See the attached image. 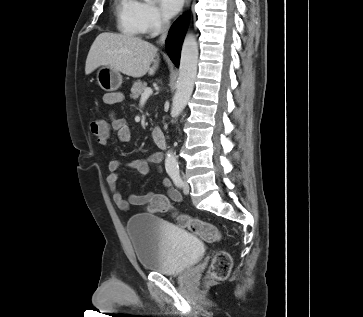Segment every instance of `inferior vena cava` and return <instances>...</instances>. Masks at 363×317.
I'll use <instances>...</instances> for the list:
<instances>
[{
	"label": "inferior vena cava",
	"mask_w": 363,
	"mask_h": 317,
	"mask_svg": "<svg viewBox=\"0 0 363 317\" xmlns=\"http://www.w3.org/2000/svg\"><path fill=\"white\" fill-rule=\"evenodd\" d=\"M163 20H164L165 23H167V25L169 24V20L168 19L164 18ZM166 34H167V32L165 30V33H163L162 36H161V38H160V42L161 43H164L165 42Z\"/></svg>",
	"instance_id": "1"
}]
</instances>
